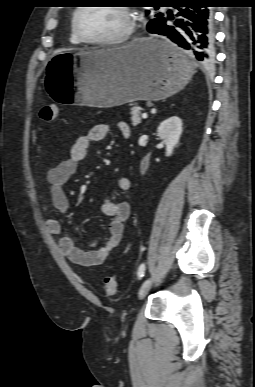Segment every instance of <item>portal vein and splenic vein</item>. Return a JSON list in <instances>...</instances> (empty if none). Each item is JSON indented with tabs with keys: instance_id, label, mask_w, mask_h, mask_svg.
<instances>
[{
	"instance_id": "portal-vein-and-splenic-vein-1",
	"label": "portal vein and splenic vein",
	"mask_w": 255,
	"mask_h": 387,
	"mask_svg": "<svg viewBox=\"0 0 255 387\" xmlns=\"http://www.w3.org/2000/svg\"><path fill=\"white\" fill-rule=\"evenodd\" d=\"M147 117H148L147 113H143V114H142V118H143V119H146Z\"/></svg>"
}]
</instances>
